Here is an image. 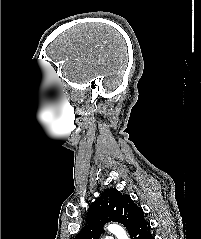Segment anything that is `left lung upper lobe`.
<instances>
[{
    "instance_id": "5c2ea615",
    "label": "left lung upper lobe",
    "mask_w": 201,
    "mask_h": 239,
    "mask_svg": "<svg viewBox=\"0 0 201 239\" xmlns=\"http://www.w3.org/2000/svg\"><path fill=\"white\" fill-rule=\"evenodd\" d=\"M110 221L123 224L130 235L146 222L142 208L129 195L116 188L106 189L90 206L87 223L74 239H98L104 232L103 226Z\"/></svg>"
}]
</instances>
